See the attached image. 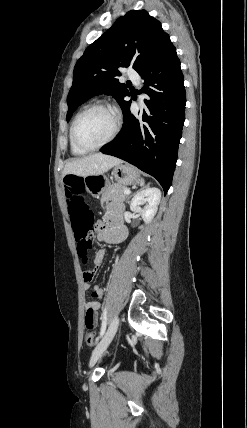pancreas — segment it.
Instances as JSON below:
<instances>
[{"label": "pancreas", "instance_id": "1", "mask_svg": "<svg viewBox=\"0 0 247 428\" xmlns=\"http://www.w3.org/2000/svg\"><path fill=\"white\" fill-rule=\"evenodd\" d=\"M126 189L124 185L120 184L109 185L102 194L101 204L108 201L117 203L123 202L127 198V195L124 194Z\"/></svg>", "mask_w": 247, "mask_h": 428}]
</instances>
